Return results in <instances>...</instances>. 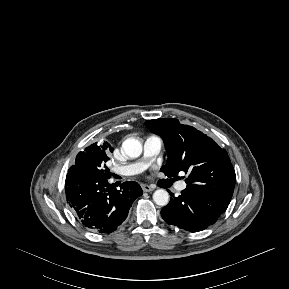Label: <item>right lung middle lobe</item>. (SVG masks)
Masks as SVG:
<instances>
[{"label": "right lung middle lobe", "instance_id": "obj_1", "mask_svg": "<svg viewBox=\"0 0 289 289\" xmlns=\"http://www.w3.org/2000/svg\"><path fill=\"white\" fill-rule=\"evenodd\" d=\"M108 153L109 150L94 143L87 147L85 151L78 153L75 165L72 167L79 168L98 178L109 179L111 173L106 166V162L109 160Z\"/></svg>", "mask_w": 289, "mask_h": 289}]
</instances>
